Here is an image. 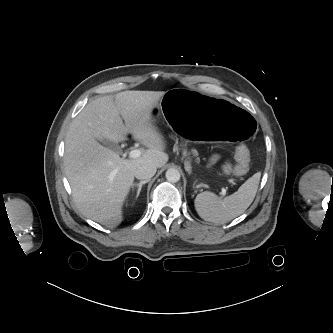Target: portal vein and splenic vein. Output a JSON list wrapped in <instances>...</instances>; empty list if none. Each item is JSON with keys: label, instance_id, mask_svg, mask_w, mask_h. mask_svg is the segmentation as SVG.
<instances>
[{"label": "portal vein and splenic vein", "instance_id": "portal-vein-and-splenic-vein-1", "mask_svg": "<svg viewBox=\"0 0 333 333\" xmlns=\"http://www.w3.org/2000/svg\"><path fill=\"white\" fill-rule=\"evenodd\" d=\"M140 156H141V151L139 149H134L129 153V157L133 159L139 158ZM225 195H226V190L222 189L221 196L224 197Z\"/></svg>", "mask_w": 333, "mask_h": 333}]
</instances>
